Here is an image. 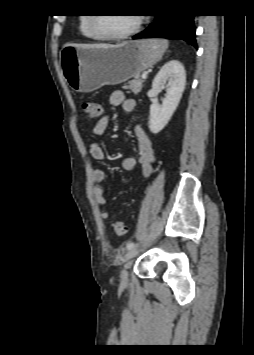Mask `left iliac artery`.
Segmentation results:
<instances>
[{"mask_svg": "<svg viewBox=\"0 0 254 355\" xmlns=\"http://www.w3.org/2000/svg\"><path fill=\"white\" fill-rule=\"evenodd\" d=\"M134 246H135V243H134V242H129V243L127 244V249L130 250V249L134 248Z\"/></svg>", "mask_w": 254, "mask_h": 355, "instance_id": "left-iliac-artery-1", "label": "left iliac artery"}]
</instances>
